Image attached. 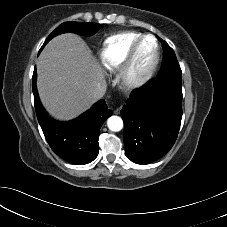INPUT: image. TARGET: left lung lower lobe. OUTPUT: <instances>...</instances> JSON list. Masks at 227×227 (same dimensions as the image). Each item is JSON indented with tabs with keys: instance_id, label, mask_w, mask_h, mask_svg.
<instances>
[{
	"instance_id": "0a47b994",
	"label": "left lung lower lobe",
	"mask_w": 227,
	"mask_h": 227,
	"mask_svg": "<svg viewBox=\"0 0 227 227\" xmlns=\"http://www.w3.org/2000/svg\"><path fill=\"white\" fill-rule=\"evenodd\" d=\"M126 156L149 164L174 145L182 118L181 80L169 77L149 80L131 92L121 110Z\"/></svg>"
}]
</instances>
